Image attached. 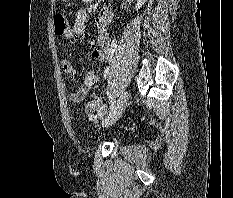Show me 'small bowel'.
Wrapping results in <instances>:
<instances>
[{"label": "small bowel", "mask_w": 233, "mask_h": 198, "mask_svg": "<svg viewBox=\"0 0 233 198\" xmlns=\"http://www.w3.org/2000/svg\"><path fill=\"white\" fill-rule=\"evenodd\" d=\"M84 4L91 0H82ZM113 19V11L110 7H103L95 18L98 29V40L92 55L99 62H108L112 51L111 39L107 33V26ZM88 20V13L85 6L79 8L74 14L73 26L68 27L62 35L69 43L75 44L82 41L85 37V24ZM62 70L69 78H75L77 70L68 59L62 60ZM99 75L96 71H88L83 80L81 88L69 95V100L74 103H80L84 100L90 88L99 82Z\"/></svg>", "instance_id": "obj_1"}]
</instances>
